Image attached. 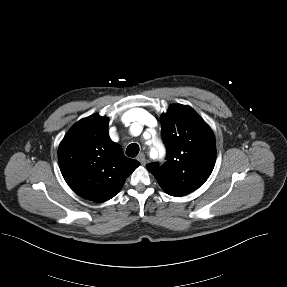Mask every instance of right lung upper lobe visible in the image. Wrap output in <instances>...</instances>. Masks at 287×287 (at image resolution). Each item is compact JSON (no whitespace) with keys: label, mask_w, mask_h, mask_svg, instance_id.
Here are the masks:
<instances>
[{"label":"right lung upper lobe","mask_w":287,"mask_h":287,"mask_svg":"<svg viewBox=\"0 0 287 287\" xmlns=\"http://www.w3.org/2000/svg\"><path fill=\"white\" fill-rule=\"evenodd\" d=\"M108 117L93 114L74 124L61 141V173L79 196L98 203L113 198L139 166L108 134Z\"/></svg>","instance_id":"right-lung-upper-lobe-1"}]
</instances>
